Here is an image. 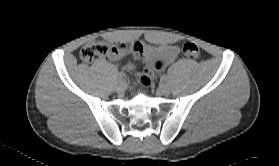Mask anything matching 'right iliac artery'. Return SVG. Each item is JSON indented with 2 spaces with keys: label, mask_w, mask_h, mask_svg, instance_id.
Returning <instances> with one entry per match:
<instances>
[{
  "label": "right iliac artery",
  "mask_w": 279,
  "mask_h": 166,
  "mask_svg": "<svg viewBox=\"0 0 279 166\" xmlns=\"http://www.w3.org/2000/svg\"><path fill=\"white\" fill-rule=\"evenodd\" d=\"M125 77H126V75H125V73H123V72H120V73L118 74L119 80H123Z\"/></svg>",
  "instance_id": "82829eb1"
}]
</instances>
